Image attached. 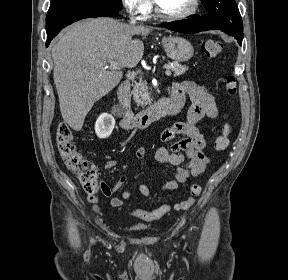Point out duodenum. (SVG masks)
I'll return each instance as SVG.
<instances>
[{"label":"duodenum","instance_id":"1","mask_svg":"<svg viewBox=\"0 0 288 280\" xmlns=\"http://www.w3.org/2000/svg\"><path fill=\"white\" fill-rule=\"evenodd\" d=\"M118 100L122 108L120 123L126 130L144 129L165 116L177 114L183 106L181 100L162 98L147 109L134 113L130 108V84L126 80L119 86Z\"/></svg>","mask_w":288,"mask_h":280}]
</instances>
